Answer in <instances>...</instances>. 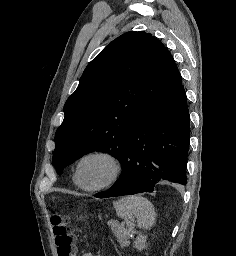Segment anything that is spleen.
Returning <instances> with one entry per match:
<instances>
[{"label": "spleen", "instance_id": "3e777b00", "mask_svg": "<svg viewBox=\"0 0 236 256\" xmlns=\"http://www.w3.org/2000/svg\"><path fill=\"white\" fill-rule=\"evenodd\" d=\"M118 218L125 220L129 228H133L132 218H136L138 228H151L155 220V210L149 200L141 196H129L114 202ZM90 256V254H87Z\"/></svg>", "mask_w": 236, "mask_h": 256}]
</instances>
